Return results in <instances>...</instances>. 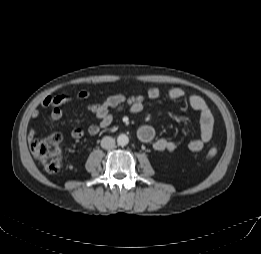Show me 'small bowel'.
<instances>
[{"mask_svg":"<svg viewBox=\"0 0 261 254\" xmlns=\"http://www.w3.org/2000/svg\"><path fill=\"white\" fill-rule=\"evenodd\" d=\"M98 93L89 91H80L76 94H59L55 96H46L41 102L43 108H51L49 120L56 122L63 116L62 107L72 102H79L90 110L96 118V122L91 124L87 132L90 135L98 134L102 129L109 127L114 115L123 110H128L131 114L137 115L143 110L144 102L149 100H159L162 97V91L158 87H151L145 94L136 96H126L124 94H114L108 96L103 102H88L91 97H98ZM166 97L173 101H186L187 104L198 113L200 122V135L187 143L189 150L198 152L212 139L214 130L213 116L205 103L198 95L190 94L181 88H171L166 93ZM39 111L32 113L33 118L39 117ZM85 130L76 127L71 131V136L75 139L83 137ZM33 136V131L29 132V139ZM140 141L146 144H152L156 151H176L180 147L177 140H169L164 137H157L156 131L150 125H142L138 130Z\"/></svg>","mask_w":261,"mask_h":254,"instance_id":"c3829d8e","label":"small bowel"}]
</instances>
